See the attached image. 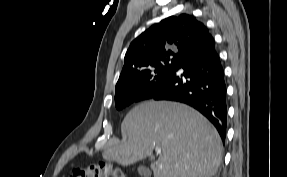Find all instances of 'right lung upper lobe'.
Segmentation results:
<instances>
[{"label": "right lung upper lobe", "instance_id": "1", "mask_svg": "<svg viewBox=\"0 0 287 177\" xmlns=\"http://www.w3.org/2000/svg\"><path fill=\"white\" fill-rule=\"evenodd\" d=\"M207 27L192 15L170 16L139 35L126 52L116 87L131 85L156 62L179 58Z\"/></svg>", "mask_w": 287, "mask_h": 177}]
</instances>
